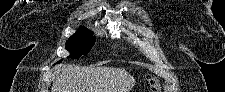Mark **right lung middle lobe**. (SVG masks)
I'll return each mask as SVG.
<instances>
[{
	"label": "right lung middle lobe",
	"instance_id": "1",
	"mask_svg": "<svg viewBox=\"0 0 225 92\" xmlns=\"http://www.w3.org/2000/svg\"><path fill=\"white\" fill-rule=\"evenodd\" d=\"M94 43L95 37L93 32L84 27L79 28L66 42V50L71 53L68 57L79 58L82 54L87 55Z\"/></svg>",
	"mask_w": 225,
	"mask_h": 92
}]
</instances>
